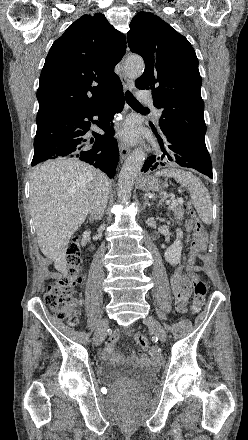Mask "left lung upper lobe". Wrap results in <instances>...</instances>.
I'll return each instance as SVG.
<instances>
[{
	"instance_id": "left-lung-upper-lobe-1",
	"label": "left lung upper lobe",
	"mask_w": 248,
	"mask_h": 440,
	"mask_svg": "<svg viewBox=\"0 0 248 440\" xmlns=\"http://www.w3.org/2000/svg\"><path fill=\"white\" fill-rule=\"evenodd\" d=\"M127 37L130 50L145 61V71L135 84L152 90L154 106L162 110L160 128L204 140L202 79L189 41L149 12H139L132 19Z\"/></svg>"
}]
</instances>
